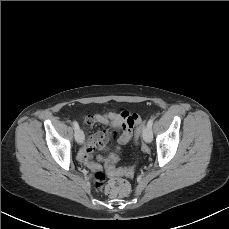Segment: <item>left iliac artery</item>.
<instances>
[{
	"label": "left iliac artery",
	"instance_id": "1",
	"mask_svg": "<svg viewBox=\"0 0 229 229\" xmlns=\"http://www.w3.org/2000/svg\"><path fill=\"white\" fill-rule=\"evenodd\" d=\"M153 121H154L153 118H151V119L148 121V126H149L150 128H152Z\"/></svg>",
	"mask_w": 229,
	"mask_h": 229
}]
</instances>
